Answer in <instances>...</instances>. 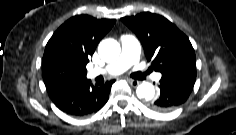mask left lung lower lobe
<instances>
[{"instance_id": "obj_1", "label": "left lung lower lobe", "mask_w": 236, "mask_h": 135, "mask_svg": "<svg viewBox=\"0 0 236 135\" xmlns=\"http://www.w3.org/2000/svg\"><path fill=\"white\" fill-rule=\"evenodd\" d=\"M196 73L176 72L162 75L160 96L150 103L153 110L167 112L182 105L193 90Z\"/></svg>"}]
</instances>
